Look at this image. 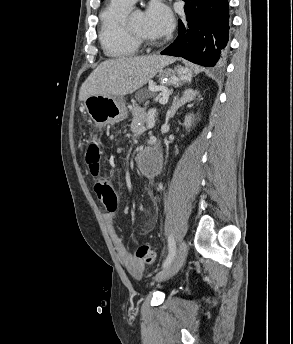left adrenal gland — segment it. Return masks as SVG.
<instances>
[{
	"instance_id": "left-adrenal-gland-1",
	"label": "left adrenal gland",
	"mask_w": 293,
	"mask_h": 344,
	"mask_svg": "<svg viewBox=\"0 0 293 344\" xmlns=\"http://www.w3.org/2000/svg\"><path fill=\"white\" fill-rule=\"evenodd\" d=\"M198 95V92L193 89H187L183 92V95L181 98L179 96H175L173 99L172 106L167 112V118H173L178 108L186 104L187 102L192 101L196 96Z\"/></svg>"
}]
</instances>
